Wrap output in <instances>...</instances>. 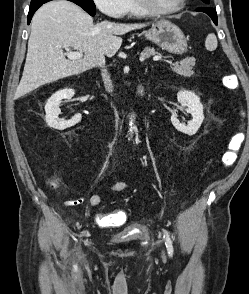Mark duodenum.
Returning a JSON list of instances; mask_svg holds the SVG:
<instances>
[{"label": "duodenum", "mask_w": 249, "mask_h": 294, "mask_svg": "<svg viewBox=\"0 0 249 294\" xmlns=\"http://www.w3.org/2000/svg\"><path fill=\"white\" fill-rule=\"evenodd\" d=\"M136 95L138 100H141L145 95V87L141 82L137 85Z\"/></svg>", "instance_id": "duodenum-1"}]
</instances>
